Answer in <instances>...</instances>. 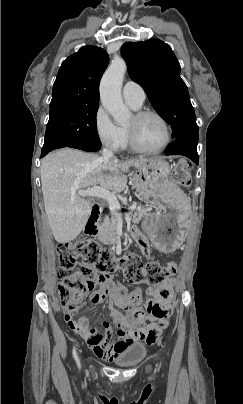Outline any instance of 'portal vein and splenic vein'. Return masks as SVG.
I'll return each instance as SVG.
<instances>
[{"label": "portal vein and splenic vein", "instance_id": "18ae733b", "mask_svg": "<svg viewBox=\"0 0 243 404\" xmlns=\"http://www.w3.org/2000/svg\"><path fill=\"white\" fill-rule=\"evenodd\" d=\"M78 194L80 196H83V198H87V196H93V198H104V200H107L110 208L111 214L115 218H120L121 214L119 210L120 204L115 196V194H111L109 190H105V188H99V186H93V188H87V190H78ZM133 210H136V202L130 206L129 210L126 212L127 216H130L133 213Z\"/></svg>", "mask_w": 243, "mask_h": 404}]
</instances>
